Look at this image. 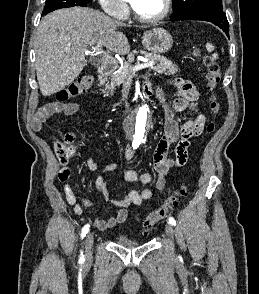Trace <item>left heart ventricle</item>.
I'll use <instances>...</instances> for the list:
<instances>
[{"mask_svg": "<svg viewBox=\"0 0 259 294\" xmlns=\"http://www.w3.org/2000/svg\"><path fill=\"white\" fill-rule=\"evenodd\" d=\"M136 11L145 17H153L160 14L164 8L163 0H131Z\"/></svg>", "mask_w": 259, "mask_h": 294, "instance_id": "left-heart-ventricle-1", "label": "left heart ventricle"}]
</instances>
